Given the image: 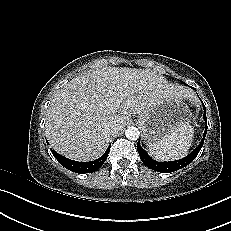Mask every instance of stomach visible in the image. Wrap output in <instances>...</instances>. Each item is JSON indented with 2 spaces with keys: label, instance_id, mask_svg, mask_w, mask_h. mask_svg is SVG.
<instances>
[{
  "label": "stomach",
  "instance_id": "obj_1",
  "mask_svg": "<svg viewBox=\"0 0 231 231\" xmlns=\"http://www.w3.org/2000/svg\"><path fill=\"white\" fill-rule=\"evenodd\" d=\"M189 107L178 98H165L138 116L143 138L147 145L167 138L178 128L191 121Z\"/></svg>",
  "mask_w": 231,
  "mask_h": 231
}]
</instances>
